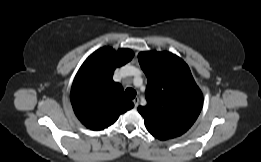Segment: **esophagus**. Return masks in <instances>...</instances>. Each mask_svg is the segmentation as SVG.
Here are the masks:
<instances>
[{"label":"esophagus","instance_id":"34e87169","mask_svg":"<svg viewBox=\"0 0 261 162\" xmlns=\"http://www.w3.org/2000/svg\"><path fill=\"white\" fill-rule=\"evenodd\" d=\"M133 103H134L135 107H138V105H139V98H138V97H135V98L133 99Z\"/></svg>","mask_w":261,"mask_h":162}]
</instances>
